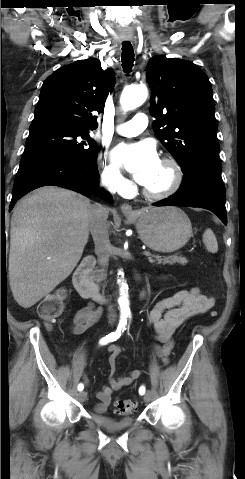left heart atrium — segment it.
Segmentation results:
<instances>
[{
	"instance_id": "39dd6f15",
	"label": "left heart atrium",
	"mask_w": 245,
	"mask_h": 479,
	"mask_svg": "<svg viewBox=\"0 0 245 479\" xmlns=\"http://www.w3.org/2000/svg\"><path fill=\"white\" fill-rule=\"evenodd\" d=\"M112 158L119 164H123L129 159L135 160L137 168L133 177L143 186L149 183L160 164L154 146L146 141L120 144L112 151Z\"/></svg>"
}]
</instances>
